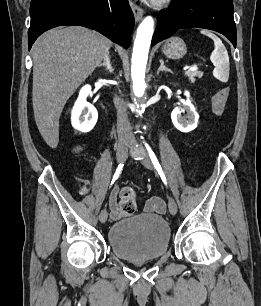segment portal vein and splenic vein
Masks as SVG:
<instances>
[{"label":"portal vein and splenic vein","mask_w":261,"mask_h":306,"mask_svg":"<svg viewBox=\"0 0 261 306\" xmlns=\"http://www.w3.org/2000/svg\"><path fill=\"white\" fill-rule=\"evenodd\" d=\"M198 70V67L197 66H192L189 68L188 71H197Z\"/></svg>","instance_id":"1"}]
</instances>
